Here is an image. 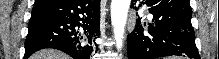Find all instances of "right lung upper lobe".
<instances>
[{"label":"right lung upper lobe","instance_id":"right-lung-upper-lobe-1","mask_svg":"<svg viewBox=\"0 0 219 59\" xmlns=\"http://www.w3.org/2000/svg\"><path fill=\"white\" fill-rule=\"evenodd\" d=\"M41 1H43V0H35V2H41Z\"/></svg>","mask_w":219,"mask_h":59}]
</instances>
